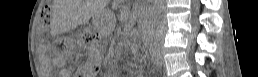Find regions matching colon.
Returning a JSON list of instances; mask_svg holds the SVG:
<instances>
[{
    "label": "colon",
    "instance_id": "obj_1",
    "mask_svg": "<svg viewBox=\"0 0 258 77\" xmlns=\"http://www.w3.org/2000/svg\"><path fill=\"white\" fill-rule=\"evenodd\" d=\"M50 26V14L49 11L47 9H43L42 12L40 13V17H39V31L40 32H45ZM92 36L86 32L83 31L80 34V41L82 43H89L91 40Z\"/></svg>",
    "mask_w": 258,
    "mask_h": 77
}]
</instances>
